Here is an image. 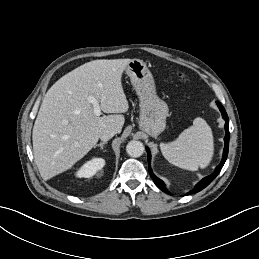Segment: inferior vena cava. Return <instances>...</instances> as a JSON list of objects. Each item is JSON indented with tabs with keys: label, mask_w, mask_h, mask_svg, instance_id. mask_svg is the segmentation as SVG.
I'll use <instances>...</instances> for the list:
<instances>
[{
	"label": "inferior vena cava",
	"mask_w": 259,
	"mask_h": 259,
	"mask_svg": "<svg viewBox=\"0 0 259 259\" xmlns=\"http://www.w3.org/2000/svg\"><path fill=\"white\" fill-rule=\"evenodd\" d=\"M116 134V131L113 129H109V130H105L101 136L100 139L102 141H108L109 139H111L114 135Z\"/></svg>",
	"instance_id": "1"
}]
</instances>
